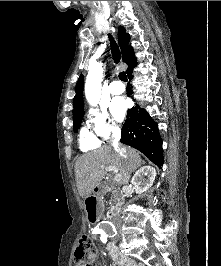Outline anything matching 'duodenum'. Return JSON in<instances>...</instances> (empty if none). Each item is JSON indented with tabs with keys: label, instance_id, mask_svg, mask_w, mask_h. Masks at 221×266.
<instances>
[{
	"label": "duodenum",
	"instance_id": "duodenum-1",
	"mask_svg": "<svg viewBox=\"0 0 221 266\" xmlns=\"http://www.w3.org/2000/svg\"><path fill=\"white\" fill-rule=\"evenodd\" d=\"M87 194V210L86 219L88 223H99L101 219L102 208V188L95 186L94 189H89ZM107 219L111 220L114 217L113 210H108L106 214Z\"/></svg>",
	"mask_w": 221,
	"mask_h": 266
}]
</instances>
